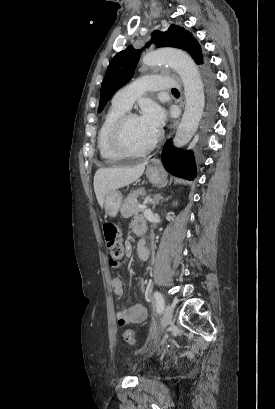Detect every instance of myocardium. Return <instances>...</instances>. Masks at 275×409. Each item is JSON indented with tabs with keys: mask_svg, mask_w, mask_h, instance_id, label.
<instances>
[{
	"mask_svg": "<svg viewBox=\"0 0 275 409\" xmlns=\"http://www.w3.org/2000/svg\"><path fill=\"white\" fill-rule=\"evenodd\" d=\"M140 118L137 113L128 112L121 116L115 123L112 135H111V147L113 151L122 156H143L150 153L159 142V134H156L154 139L144 148L134 149L131 148L126 142V131L128 124L134 120Z\"/></svg>",
	"mask_w": 275,
	"mask_h": 409,
	"instance_id": "f54148a6",
	"label": "myocardium"
}]
</instances>
